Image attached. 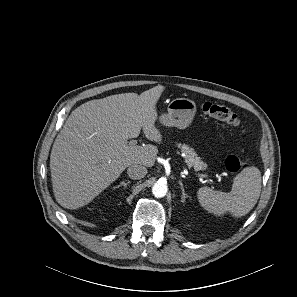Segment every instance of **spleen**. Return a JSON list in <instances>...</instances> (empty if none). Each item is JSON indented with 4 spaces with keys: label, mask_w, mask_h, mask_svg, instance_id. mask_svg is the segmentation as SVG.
Here are the masks:
<instances>
[{
    "label": "spleen",
    "mask_w": 297,
    "mask_h": 297,
    "mask_svg": "<svg viewBox=\"0 0 297 297\" xmlns=\"http://www.w3.org/2000/svg\"><path fill=\"white\" fill-rule=\"evenodd\" d=\"M261 172L257 167L244 168L236 175L229 193L202 187L197 191L200 205L210 213H232L234 217L248 214L257 203L261 192Z\"/></svg>",
    "instance_id": "spleen-1"
}]
</instances>
